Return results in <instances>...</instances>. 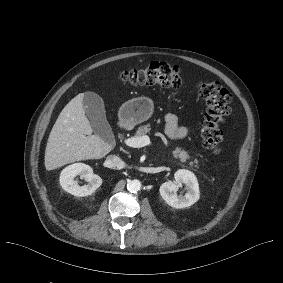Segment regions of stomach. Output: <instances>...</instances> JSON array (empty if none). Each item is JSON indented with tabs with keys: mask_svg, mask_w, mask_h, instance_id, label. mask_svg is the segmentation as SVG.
I'll return each instance as SVG.
<instances>
[{
	"mask_svg": "<svg viewBox=\"0 0 283 283\" xmlns=\"http://www.w3.org/2000/svg\"><path fill=\"white\" fill-rule=\"evenodd\" d=\"M153 102L145 97L132 99L127 103L124 109L118 113L119 121L125 128L134 127L135 125L146 121L151 117Z\"/></svg>",
	"mask_w": 283,
	"mask_h": 283,
	"instance_id": "1",
	"label": "stomach"
}]
</instances>
